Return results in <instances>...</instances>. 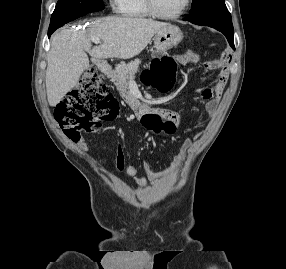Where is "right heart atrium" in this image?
Returning a JSON list of instances; mask_svg holds the SVG:
<instances>
[{
	"label": "right heart atrium",
	"mask_w": 286,
	"mask_h": 269,
	"mask_svg": "<svg viewBox=\"0 0 286 269\" xmlns=\"http://www.w3.org/2000/svg\"><path fill=\"white\" fill-rule=\"evenodd\" d=\"M112 7H116L117 0H109Z\"/></svg>",
	"instance_id": "obj_1"
}]
</instances>
